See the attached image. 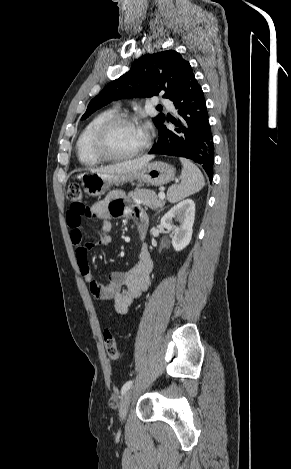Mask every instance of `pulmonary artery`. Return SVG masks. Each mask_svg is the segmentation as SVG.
<instances>
[{
    "label": "pulmonary artery",
    "mask_w": 291,
    "mask_h": 469,
    "mask_svg": "<svg viewBox=\"0 0 291 469\" xmlns=\"http://www.w3.org/2000/svg\"><path fill=\"white\" fill-rule=\"evenodd\" d=\"M158 103L164 105L165 107L171 110L174 108L173 103L169 99L161 98Z\"/></svg>",
    "instance_id": "obj_1"
}]
</instances>
